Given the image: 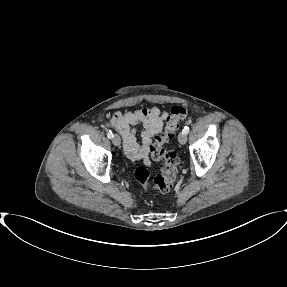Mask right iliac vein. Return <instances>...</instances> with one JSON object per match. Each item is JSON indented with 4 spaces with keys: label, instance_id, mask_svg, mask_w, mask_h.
Masks as SVG:
<instances>
[{
    "label": "right iliac vein",
    "instance_id": "obj_1",
    "mask_svg": "<svg viewBox=\"0 0 287 287\" xmlns=\"http://www.w3.org/2000/svg\"><path fill=\"white\" fill-rule=\"evenodd\" d=\"M112 143H113L115 146H119V145H120L121 139H120V137H119L117 134H114V135H113Z\"/></svg>",
    "mask_w": 287,
    "mask_h": 287
}]
</instances>
